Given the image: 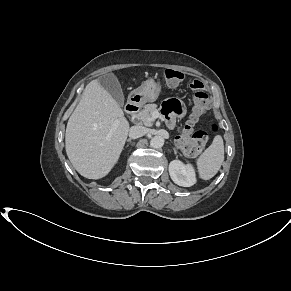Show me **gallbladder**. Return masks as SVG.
<instances>
[{
    "label": "gallbladder",
    "mask_w": 291,
    "mask_h": 291,
    "mask_svg": "<svg viewBox=\"0 0 291 291\" xmlns=\"http://www.w3.org/2000/svg\"><path fill=\"white\" fill-rule=\"evenodd\" d=\"M98 82L120 106L124 105V95L120 83L114 74H104L99 77Z\"/></svg>",
    "instance_id": "obj_1"
}]
</instances>
